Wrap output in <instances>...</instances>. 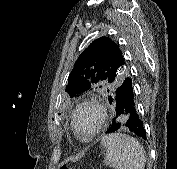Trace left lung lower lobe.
<instances>
[{
	"label": "left lung lower lobe",
	"mask_w": 177,
	"mask_h": 169,
	"mask_svg": "<svg viewBox=\"0 0 177 169\" xmlns=\"http://www.w3.org/2000/svg\"><path fill=\"white\" fill-rule=\"evenodd\" d=\"M110 103H116V115L125 114L129 116V119L124 125L120 123H115L113 121L111 127L106 131V133H112L117 131L121 126L128 128L131 132L136 135L146 139V132L143 127V122L140 119L136 105L134 102L132 80L126 77L119 87L115 90L114 94L109 98Z\"/></svg>",
	"instance_id": "0a47b994"
}]
</instances>
